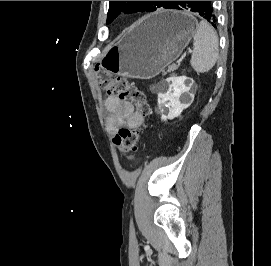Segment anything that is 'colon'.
<instances>
[{
  "mask_svg": "<svg viewBox=\"0 0 271 266\" xmlns=\"http://www.w3.org/2000/svg\"><path fill=\"white\" fill-rule=\"evenodd\" d=\"M96 77L99 85L107 94L135 105L143 117L150 114V106L146 95L135 84L105 69H97ZM140 137V128L122 127L115 134L113 142L122 154L127 155L136 151Z\"/></svg>",
  "mask_w": 271,
  "mask_h": 266,
  "instance_id": "1",
  "label": "colon"
}]
</instances>
